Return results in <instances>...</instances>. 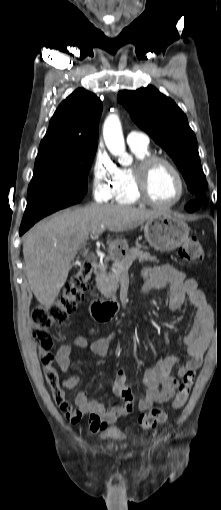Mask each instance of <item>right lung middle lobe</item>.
Listing matches in <instances>:
<instances>
[{
	"label": "right lung middle lobe",
	"mask_w": 221,
	"mask_h": 510,
	"mask_svg": "<svg viewBox=\"0 0 221 510\" xmlns=\"http://www.w3.org/2000/svg\"><path fill=\"white\" fill-rule=\"evenodd\" d=\"M97 147L36 158L27 204L62 209L81 202Z\"/></svg>",
	"instance_id": "obj_1"
}]
</instances>
